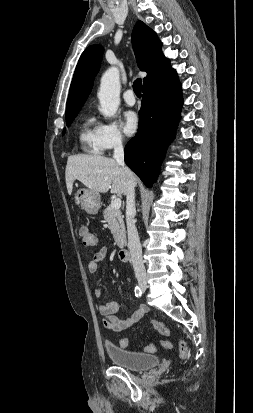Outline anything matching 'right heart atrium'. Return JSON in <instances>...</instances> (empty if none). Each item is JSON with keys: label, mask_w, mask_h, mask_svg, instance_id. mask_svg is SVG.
<instances>
[{"label": "right heart atrium", "mask_w": 253, "mask_h": 413, "mask_svg": "<svg viewBox=\"0 0 253 413\" xmlns=\"http://www.w3.org/2000/svg\"><path fill=\"white\" fill-rule=\"evenodd\" d=\"M97 141L101 151L121 148L125 137L114 122H102L96 126Z\"/></svg>", "instance_id": "d8ad5b80"}]
</instances>
